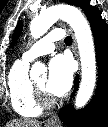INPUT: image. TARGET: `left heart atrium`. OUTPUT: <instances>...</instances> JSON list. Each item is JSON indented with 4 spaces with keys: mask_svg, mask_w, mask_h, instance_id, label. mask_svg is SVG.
I'll return each instance as SVG.
<instances>
[{
    "mask_svg": "<svg viewBox=\"0 0 108 127\" xmlns=\"http://www.w3.org/2000/svg\"><path fill=\"white\" fill-rule=\"evenodd\" d=\"M73 64L65 55L55 56L49 64V76L46 82V89L55 96L65 94L73 80Z\"/></svg>",
    "mask_w": 108,
    "mask_h": 127,
    "instance_id": "39dd6f15",
    "label": "left heart atrium"
}]
</instances>
